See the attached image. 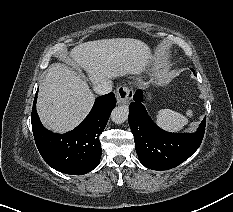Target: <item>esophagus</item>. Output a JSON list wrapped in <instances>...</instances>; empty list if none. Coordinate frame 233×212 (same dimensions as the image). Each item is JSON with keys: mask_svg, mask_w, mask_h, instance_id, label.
Wrapping results in <instances>:
<instances>
[{"mask_svg": "<svg viewBox=\"0 0 233 212\" xmlns=\"http://www.w3.org/2000/svg\"><path fill=\"white\" fill-rule=\"evenodd\" d=\"M133 97V91L127 86H120L116 91L117 103L127 105Z\"/></svg>", "mask_w": 233, "mask_h": 212, "instance_id": "34e87169", "label": "esophagus"}]
</instances>
